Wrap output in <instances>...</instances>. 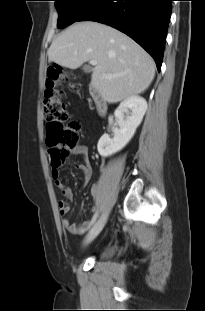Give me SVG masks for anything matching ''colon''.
I'll use <instances>...</instances> for the list:
<instances>
[{"label": "colon", "mask_w": 205, "mask_h": 311, "mask_svg": "<svg viewBox=\"0 0 205 311\" xmlns=\"http://www.w3.org/2000/svg\"><path fill=\"white\" fill-rule=\"evenodd\" d=\"M65 79L66 73L58 66L49 67L46 71L43 113L53 170L68 160L80 140L81 124L78 121L67 122L68 111L62 101L63 93L58 88Z\"/></svg>", "instance_id": "colon-1"}]
</instances>
